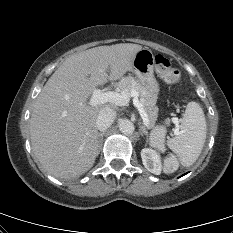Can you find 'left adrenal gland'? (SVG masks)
Instances as JSON below:
<instances>
[{
  "label": "left adrenal gland",
  "mask_w": 233,
  "mask_h": 233,
  "mask_svg": "<svg viewBox=\"0 0 233 233\" xmlns=\"http://www.w3.org/2000/svg\"><path fill=\"white\" fill-rule=\"evenodd\" d=\"M141 135L143 136V135H145L146 136V138H147V142H148V136H149V134H148V131H147V129L145 128V126H141Z\"/></svg>",
  "instance_id": "a2214340"
}]
</instances>
